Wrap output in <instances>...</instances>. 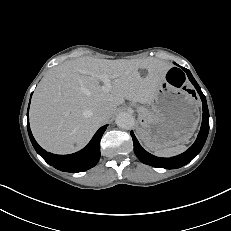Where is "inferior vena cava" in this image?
<instances>
[{
  "mask_svg": "<svg viewBox=\"0 0 231 231\" xmlns=\"http://www.w3.org/2000/svg\"><path fill=\"white\" fill-rule=\"evenodd\" d=\"M98 116L102 119V120H107L109 118V113L106 110H101L98 112Z\"/></svg>",
  "mask_w": 231,
  "mask_h": 231,
  "instance_id": "obj_1",
  "label": "inferior vena cava"
}]
</instances>
